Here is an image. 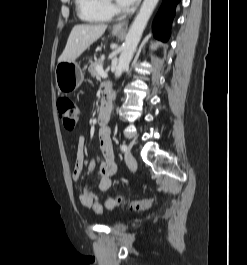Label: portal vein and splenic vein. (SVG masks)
Wrapping results in <instances>:
<instances>
[{
  "label": "portal vein and splenic vein",
  "instance_id": "1",
  "mask_svg": "<svg viewBox=\"0 0 247 265\" xmlns=\"http://www.w3.org/2000/svg\"><path fill=\"white\" fill-rule=\"evenodd\" d=\"M97 70L101 74L102 77H107V73L103 71L102 67H98Z\"/></svg>",
  "mask_w": 247,
  "mask_h": 265
}]
</instances>
